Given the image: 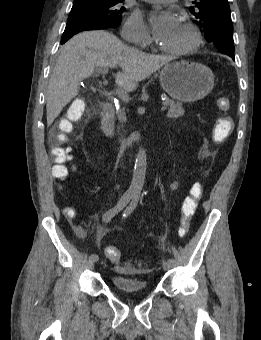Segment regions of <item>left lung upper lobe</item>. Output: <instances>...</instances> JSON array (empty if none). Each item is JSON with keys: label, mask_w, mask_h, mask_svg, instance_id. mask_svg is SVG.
Segmentation results:
<instances>
[{"label": "left lung upper lobe", "mask_w": 261, "mask_h": 340, "mask_svg": "<svg viewBox=\"0 0 261 340\" xmlns=\"http://www.w3.org/2000/svg\"><path fill=\"white\" fill-rule=\"evenodd\" d=\"M190 12L198 18L205 38L222 53L234 55L233 24L228 0H196Z\"/></svg>", "instance_id": "1"}]
</instances>
